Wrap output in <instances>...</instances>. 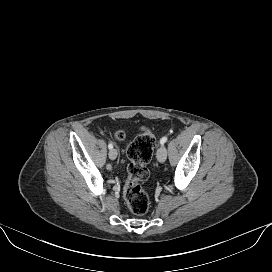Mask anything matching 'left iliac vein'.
I'll return each instance as SVG.
<instances>
[{
    "label": "left iliac vein",
    "mask_w": 272,
    "mask_h": 272,
    "mask_svg": "<svg viewBox=\"0 0 272 272\" xmlns=\"http://www.w3.org/2000/svg\"><path fill=\"white\" fill-rule=\"evenodd\" d=\"M167 158V150L165 146H161L157 151V159L159 162H165Z\"/></svg>",
    "instance_id": "left-iliac-vein-1"
}]
</instances>
